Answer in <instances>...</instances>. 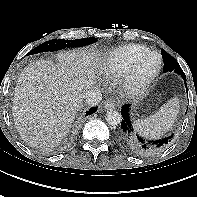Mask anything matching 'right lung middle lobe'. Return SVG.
<instances>
[{"mask_svg": "<svg viewBox=\"0 0 197 197\" xmlns=\"http://www.w3.org/2000/svg\"><path fill=\"white\" fill-rule=\"evenodd\" d=\"M96 41L97 38H91V37L84 39H76V40H64V39L50 40L48 42L42 43L41 45L31 50L28 53V55L39 53V52L60 50L66 47H82L94 43Z\"/></svg>", "mask_w": 197, "mask_h": 197, "instance_id": "1", "label": "right lung middle lobe"}]
</instances>
